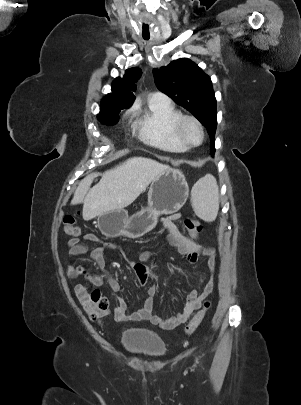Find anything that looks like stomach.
Returning a JSON list of instances; mask_svg holds the SVG:
<instances>
[{
  "mask_svg": "<svg viewBox=\"0 0 301 405\" xmlns=\"http://www.w3.org/2000/svg\"><path fill=\"white\" fill-rule=\"evenodd\" d=\"M189 186L182 170L168 167L151 183L148 207L128 216L123 210H115L99 216L100 228L113 236L139 238L152 230L161 214H173L185 204Z\"/></svg>",
  "mask_w": 301,
  "mask_h": 405,
  "instance_id": "1",
  "label": "stomach"
}]
</instances>
